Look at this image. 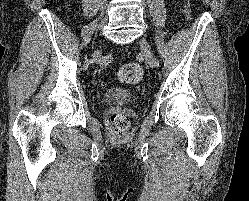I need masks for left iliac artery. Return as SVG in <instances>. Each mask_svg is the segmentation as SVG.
I'll return each mask as SVG.
<instances>
[{"mask_svg":"<svg viewBox=\"0 0 249 201\" xmlns=\"http://www.w3.org/2000/svg\"><path fill=\"white\" fill-rule=\"evenodd\" d=\"M155 64H156V66H159V63H158V61H156V60H155Z\"/></svg>","mask_w":249,"mask_h":201,"instance_id":"44dca946","label":"left iliac artery"}]
</instances>
